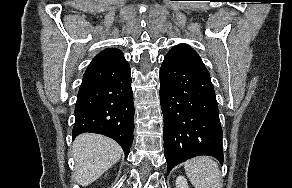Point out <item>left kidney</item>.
Segmentation results:
<instances>
[{
  "mask_svg": "<svg viewBox=\"0 0 292 188\" xmlns=\"http://www.w3.org/2000/svg\"><path fill=\"white\" fill-rule=\"evenodd\" d=\"M176 188H189L187 180L184 176L180 175L177 177Z\"/></svg>",
  "mask_w": 292,
  "mask_h": 188,
  "instance_id": "obj_1",
  "label": "left kidney"
}]
</instances>
